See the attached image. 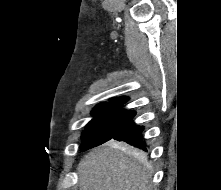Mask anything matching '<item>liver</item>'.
Returning <instances> with one entry per match:
<instances>
[{"mask_svg": "<svg viewBox=\"0 0 221 190\" xmlns=\"http://www.w3.org/2000/svg\"><path fill=\"white\" fill-rule=\"evenodd\" d=\"M77 172L80 190H151L145 155L114 141L85 155Z\"/></svg>", "mask_w": 221, "mask_h": 190, "instance_id": "1", "label": "liver"}]
</instances>
